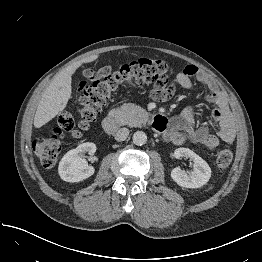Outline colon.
<instances>
[{
	"instance_id": "1",
	"label": "colon",
	"mask_w": 262,
	"mask_h": 262,
	"mask_svg": "<svg viewBox=\"0 0 262 262\" xmlns=\"http://www.w3.org/2000/svg\"><path fill=\"white\" fill-rule=\"evenodd\" d=\"M171 69L161 59L141 58L124 65H107L96 71L85 70L80 83L79 96L72 110L63 112L49 135L37 136L33 147L45 168L55 165L63 140L67 135L77 137L95 120L109 97L128 85H151L152 96L159 98L168 89ZM75 115L79 117L76 126ZM232 162V153L222 148L216 155L215 165L224 171Z\"/></svg>"
}]
</instances>
